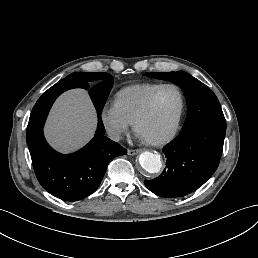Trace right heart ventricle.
I'll return each mask as SVG.
<instances>
[{
    "label": "right heart ventricle",
    "instance_id": "obj_1",
    "mask_svg": "<svg viewBox=\"0 0 258 258\" xmlns=\"http://www.w3.org/2000/svg\"><path fill=\"white\" fill-rule=\"evenodd\" d=\"M159 84L144 83L125 87L115 97L114 104L129 123H134L148 96Z\"/></svg>",
    "mask_w": 258,
    "mask_h": 258
}]
</instances>
